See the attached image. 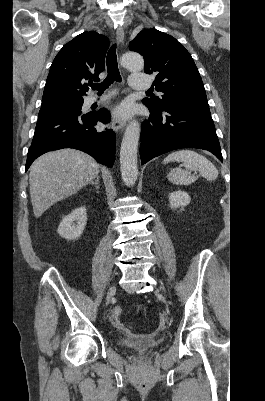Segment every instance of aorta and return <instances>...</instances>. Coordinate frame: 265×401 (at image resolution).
<instances>
[{"instance_id":"1","label":"aorta","mask_w":265,"mask_h":401,"mask_svg":"<svg viewBox=\"0 0 265 401\" xmlns=\"http://www.w3.org/2000/svg\"><path fill=\"white\" fill-rule=\"evenodd\" d=\"M125 68L129 70H142L144 66L143 56L136 52H125L121 58ZM140 136V124L137 120H132L127 124L120 148V168L122 180L125 184H134L138 178L137 148Z\"/></svg>"}]
</instances>
